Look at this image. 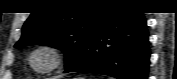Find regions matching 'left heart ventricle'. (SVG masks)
I'll use <instances>...</instances> for the list:
<instances>
[{
  "mask_svg": "<svg viewBox=\"0 0 177 79\" xmlns=\"http://www.w3.org/2000/svg\"><path fill=\"white\" fill-rule=\"evenodd\" d=\"M32 61L36 68L44 69L52 64V56L48 52H40L33 57Z\"/></svg>",
  "mask_w": 177,
  "mask_h": 79,
  "instance_id": "b2bd125f",
  "label": "left heart ventricle"
}]
</instances>
